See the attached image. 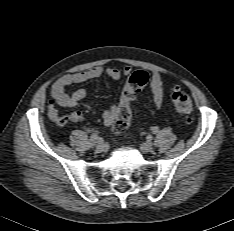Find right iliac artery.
Returning <instances> with one entry per match:
<instances>
[{
    "label": "right iliac artery",
    "instance_id": "right-iliac-artery-1",
    "mask_svg": "<svg viewBox=\"0 0 234 231\" xmlns=\"http://www.w3.org/2000/svg\"><path fill=\"white\" fill-rule=\"evenodd\" d=\"M97 142H99V137L96 133H93L89 140V146L93 147Z\"/></svg>",
    "mask_w": 234,
    "mask_h": 231
}]
</instances>
